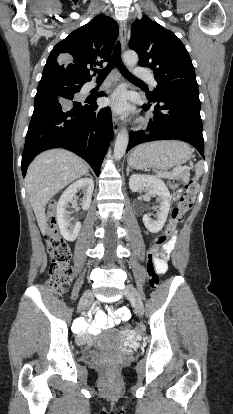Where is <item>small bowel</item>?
I'll return each mask as SVG.
<instances>
[{
    "instance_id": "c3829d8e",
    "label": "small bowel",
    "mask_w": 233,
    "mask_h": 414,
    "mask_svg": "<svg viewBox=\"0 0 233 414\" xmlns=\"http://www.w3.org/2000/svg\"><path fill=\"white\" fill-rule=\"evenodd\" d=\"M175 241L176 237H171L167 245L164 247V252L162 256L156 260L155 267L158 274H164L167 271L168 254L172 250ZM91 305L93 308L96 309L99 307L100 304L98 301L95 300L92 302ZM129 317L130 312L126 307H120L117 310H113L110 307H106L105 310L99 308L95 312V320L93 322L89 323L85 320H81L78 322L76 330L79 333V337L82 341H88L90 334L95 335L101 329L113 328L119 325L120 323L127 321Z\"/></svg>"
}]
</instances>
